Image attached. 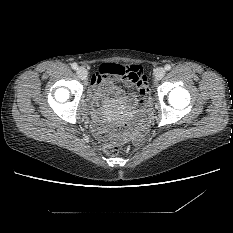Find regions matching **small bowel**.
Segmentation results:
<instances>
[{
	"mask_svg": "<svg viewBox=\"0 0 233 233\" xmlns=\"http://www.w3.org/2000/svg\"><path fill=\"white\" fill-rule=\"evenodd\" d=\"M133 78H137L139 83L138 95H127L120 86L113 83V79L129 82ZM147 80V72L138 64L100 62L98 72L93 76L89 89L87 109L92 114H96L95 106L110 109L125 106L130 108L134 114H140L149 97ZM105 122V119L98 117L91 125L92 133L102 141L113 138L111 132L104 126ZM143 130L144 125L136 130L130 128L128 133L133 137H141Z\"/></svg>",
	"mask_w": 233,
	"mask_h": 233,
	"instance_id": "obj_1",
	"label": "small bowel"
}]
</instances>
